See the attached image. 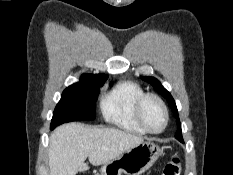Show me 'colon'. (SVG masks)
<instances>
[{
    "instance_id": "1",
    "label": "colon",
    "mask_w": 233,
    "mask_h": 175,
    "mask_svg": "<svg viewBox=\"0 0 233 175\" xmlns=\"http://www.w3.org/2000/svg\"><path fill=\"white\" fill-rule=\"evenodd\" d=\"M181 174V161L177 154L164 166L161 175H180Z\"/></svg>"
}]
</instances>
